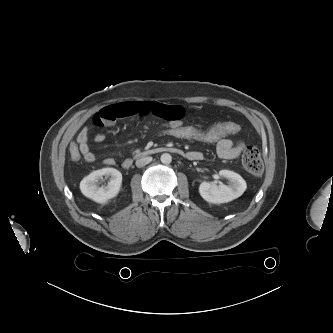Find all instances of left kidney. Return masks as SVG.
<instances>
[{
  "instance_id": "obj_1",
  "label": "left kidney",
  "mask_w": 333,
  "mask_h": 333,
  "mask_svg": "<svg viewBox=\"0 0 333 333\" xmlns=\"http://www.w3.org/2000/svg\"><path fill=\"white\" fill-rule=\"evenodd\" d=\"M219 175L228 179V185L202 182L199 193L205 201L214 204L227 203L240 197L246 190V182L239 174L230 170H220Z\"/></svg>"
}]
</instances>
